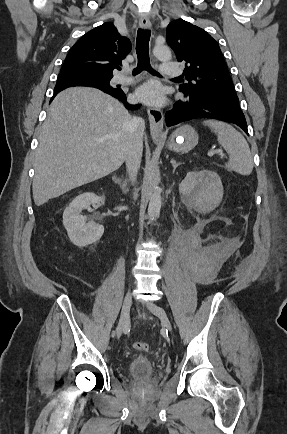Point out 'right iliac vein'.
Masks as SVG:
<instances>
[{
	"instance_id": "right-iliac-vein-1",
	"label": "right iliac vein",
	"mask_w": 287,
	"mask_h": 434,
	"mask_svg": "<svg viewBox=\"0 0 287 434\" xmlns=\"http://www.w3.org/2000/svg\"><path fill=\"white\" fill-rule=\"evenodd\" d=\"M131 304H132V296H131V293L128 292L125 295L124 300H123L120 320H119L117 330H116V335L118 338L122 335L124 329L126 328V326L129 323Z\"/></svg>"
}]
</instances>
